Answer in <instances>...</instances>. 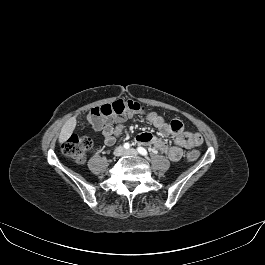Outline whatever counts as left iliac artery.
<instances>
[{
  "label": "left iliac artery",
  "mask_w": 265,
  "mask_h": 265,
  "mask_svg": "<svg viewBox=\"0 0 265 265\" xmlns=\"http://www.w3.org/2000/svg\"><path fill=\"white\" fill-rule=\"evenodd\" d=\"M137 150L143 156H147L148 155L147 150L145 148H143V147H138Z\"/></svg>",
  "instance_id": "44dca946"
}]
</instances>
